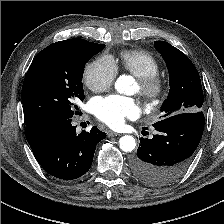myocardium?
<instances>
[{
  "instance_id": "f54148a6",
  "label": "myocardium",
  "mask_w": 224,
  "mask_h": 224,
  "mask_svg": "<svg viewBox=\"0 0 224 224\" xmlns=\"http://www.w3.org/2000/svg\"><path fill=\"white\" fill-rule=\"evenodd\" d=\"M139 93L149 106L160 105L168 93V82L160 75L139 78L137 81Z\"/></svg>"
}]
</instances>
